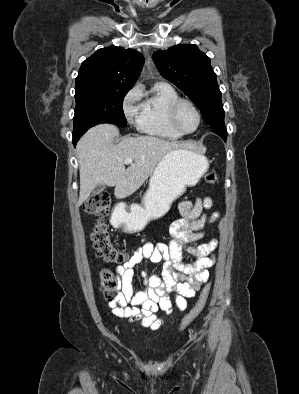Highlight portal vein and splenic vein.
I'll return each instance as SVG.
<instances>
[{
	"mask_svg": "<svg viewBox=\"0 0 299 394\" xmlns=\"http://www.w3.org/2000/svg\"><path fill=\"white\" fill-rule=\"evenodd\" d=\"M132 162H133L132 158H127V159L124 160L125 164H132Z\"/></svg>",
	"mask_w": 299,
	"mask_h": 394,
	"instance_id": "18ae733b",
	"label": "portal vein and splenic vein"
}]
</instances>
